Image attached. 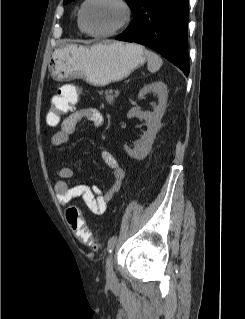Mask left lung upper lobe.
I'll return each mask as SVG.
<instances>
[{
  "label": "left lung upper lobe",
  "instance_id": "1",
  "mask_svg": "<svg viewBox=\"0 0 245 319\" xmlns=\"http://www.w3.org/2000/svg\"><path fill=\"white\" fill-rule=\"evenodd\" d=\"M73 0H64L63 4L66 5L68 3H70ZM139 0H126V2L128 3L129 7L131 8V11L133 12L135 9L136 4L138 3Z\"/></svg>",
  "mask_w": 245,
  "mask_h": 319
}]
</instances>
